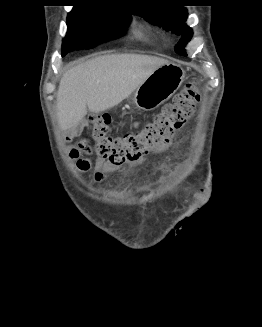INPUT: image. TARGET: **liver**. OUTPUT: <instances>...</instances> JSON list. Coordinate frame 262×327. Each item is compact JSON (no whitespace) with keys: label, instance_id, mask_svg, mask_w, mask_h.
<instances>
[{"label":"liver","instance_id":"6515ba94","mask_svg":"<svg viewBox=\"0 0 262 327\" xmlns=\"http://www.w3.org/2000/svg\"><path fill=\"white\" fill-rule=\"evenodd\" d=\"M167 60L139 54H108L69 69L57 92V116L62 130L77 125L88 111L100 113L129 97Z\"/></svg>","mask_w":262,"mask_h":327}]
</instances>
